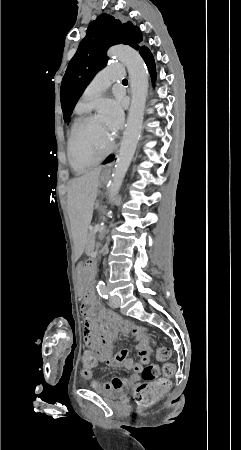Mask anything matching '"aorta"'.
Returning a JSON list of instances; mask_svg holds the SVG:
<instances>
[{
	"label": "aorta",
	"instance_id": "1",
	"mask_svg": "<svg viewBox=\"0 0 241 450\" xmlns=\"http://www.w3.org/2000/svg\"><path fill=\"white\" fill-rule=\"evenodd\" d=\"M108 55L117 58L127 67L132 96L126 128L110 183V200L112 201L121 187L141 136L148 93V72L140 54L129 46H114L108 51Z\"/></svg>",
	"mask_w": 241,
	"mask_h": 450
}]
</instances>
